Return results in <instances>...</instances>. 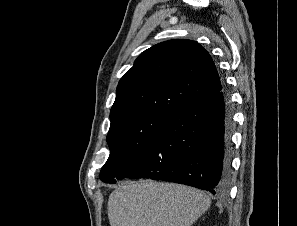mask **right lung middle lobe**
Returning <instances> with one entry per match:
<instances>
[{
  "instance_id": "dd1d6c3e",
  "label": "right lung middle lobe",
  "mask_w": 297,
  "mask_h": 226,
  "mask_svg": "<svg viewBox=\"0 0 297 226\" xmlns=\"http://www.w3.org/2000/svg\"><path fill=\"white\" fill-rule=\"evenodd\" d=\"M172 113H146L111 124L107 142L110 156L101 169L100 179L115 183L148 147L158 132L167 124Z\"/></svg>"
}]
</instances>
